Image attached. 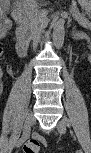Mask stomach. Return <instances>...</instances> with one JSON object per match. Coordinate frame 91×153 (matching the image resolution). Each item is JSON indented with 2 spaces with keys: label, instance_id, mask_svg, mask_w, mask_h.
<instances>
[{
  "label": "stomach",
  "instance_id": "stomach-1",
  "mask_svg": "<svg viewBox=\"0 0 91 153\" xmlns=\"http://www.w3.org/2000/svg\"><path fill=\"white\" fill-rule=\"evenodd\" d=\"M79 3L83 6V8L89 12L91 8V1L90 0H79Z\"/></svg>",
  "mask_w": 91,
  "mask_h": 153
}]
</instances>
